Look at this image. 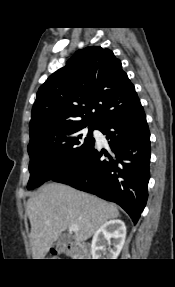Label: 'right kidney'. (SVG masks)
Returning <instances> with one entry per match:
<instances>
[{"mask_svg": "<svg viewBox=\"0 0 175 287\" xmlns=\"http://www.w3.org/2000/svg\"><path fill=\"white\" fill-rule=\"evenodd\" d=\"M126 238V226L116 219L105 222L94 234L91 244L93 259H116Z\"/></svg>", "mask_w": 175, "mask_h": 287, "instance_id": "obj_1", "label": "right kidney"}]
</instances>
